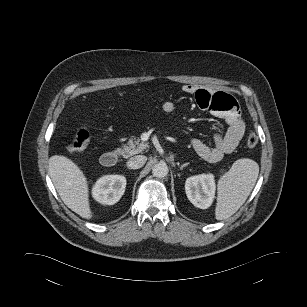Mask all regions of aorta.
Returning a JSON list of instances; mask_svg holds the SVG:
<instances>
[{
    "label": "aorta",
    "mask_w": 307,
    "mask_h": 307,
    "mask_svg": "<svg viewBox=\"0 0 307 307\" xmlns=\"http://www.w3.org/2000/svg\"><path fill=\"white\" fill-rule=\"evenodd\" d=\"M153 176L163 178L168 174V166L164 162L157 163L152 168Z\"/></svg>",
    "instance_id": "aorta-1"
}]
</instances>
